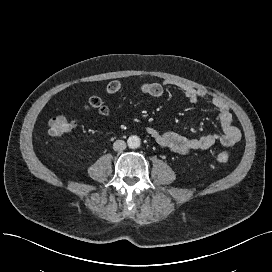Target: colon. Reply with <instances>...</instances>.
Segmentation results:
<instances>
[{
    "mask_svg": "<svg viewBox=\"0 0 272 272\" xmlns=\"http://www.w3.org/2000/svg\"><path fill=\"white\" fill-rule=\"evenodd\" d=\"M86 107L88 109L97 110L102 115L108 113L107 107L97 97L89 98ZM72 128L73 124L62 116L53 117L49 120V134L51 136H61L69 132ZM216 159L221 163H227L230 160V156L227 152H218Z\"/></svg>",
    "mask_w": 272,
    "mask_h": 272,
    "instance_id": "obj_1",
    "label": "colon"
}]
</instances>
